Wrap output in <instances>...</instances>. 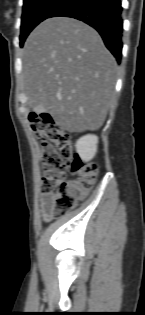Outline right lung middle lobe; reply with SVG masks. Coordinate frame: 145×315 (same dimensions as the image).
<instances>
[{"label":"right lung middle lobe","mask_w":145,"mask_h":315,"mask_svg":"<svg viewBox=\"0 0 145 315\" xmlns=\"http://www.w3.org/2000/svg\"><path fill=\"white\" fill-rule=\"evenodd\" d=\"M65 0H24L21 17L20 46L40 22L49 17Z\"/></svg>","instance_id":"dd1d6c3e"}]
</instances>
